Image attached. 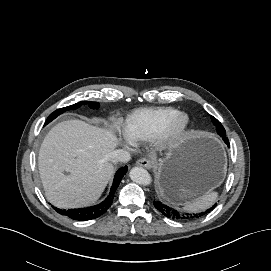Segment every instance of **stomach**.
Masks as SVG:
<instances>
[{
  "mask_svg": "<svg viewBox=\"0 0 271 271\" xmlns=\"http://www.w3.org/2000/svg\"><path fill=\"white\" fill-rule=\"evenodd\" d=\"M156 186L166 201L196 200L217 187L226 170L220 142L209 134L190 133L155 165Z\"/></svg>",
  "mask_w": 271,
  "mask_h": 271,
  "instance_id": "obj_1",
  "label": "stomach"
}]
</instances>
